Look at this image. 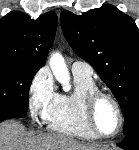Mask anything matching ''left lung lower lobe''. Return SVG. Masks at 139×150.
Here are the masks:
<instances>
[{
    "label": "left lung lower lobe",
    "instance_id": "0a47b994",
    "mask_svg": "<svg viewBox=\"0 0 139 150\" xmlns=\"http://www.w3.org/2000/svg\"><path fill=\"white\" fill-rule=\"evenodd\" d=\"M117 145L125 150H139V130L127 134L125 139Z\"/></svg>",
    "mask_w": 139,
    "mask_h": 150
}]
</instances>
